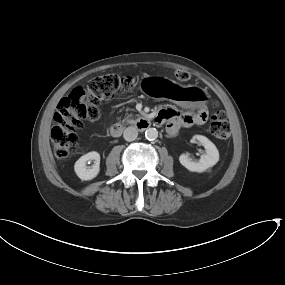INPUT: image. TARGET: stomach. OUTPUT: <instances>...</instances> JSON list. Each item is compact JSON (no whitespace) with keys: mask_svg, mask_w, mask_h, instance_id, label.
I'll list each match as a JSON object with an SVG mask.
<instances>
[{"mask_svg":"<svg viewBox=\"0 0 285 285\" xmlns=\"http://www.w3.org/2000/svg\"><path fill=\"white\" fill-rule=\"evenodd\" d=\"M140 85L143 91L150 95H153L156 87L160 85L167 86L170 88L169 99L176 105L186 109L198 108L204 105L208 98L206 92L196 86H181L175 81L162 77L145 76Z\"/></svg>","mask_w":285,"mask_h":285,"instance_id":"stomach-1","label":"stomach"}]
</instances>
